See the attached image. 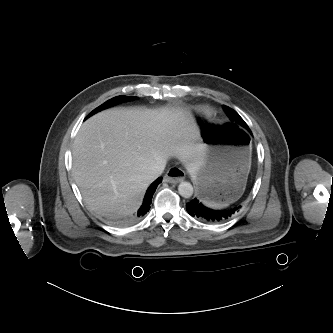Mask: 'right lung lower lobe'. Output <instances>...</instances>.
I'll return each mask as SVG.
<instances>
[{"label":"right lung lower lobe","instance_id":"1","mask_svg":"<svg viewBox=\"0 0 333 333\" xmlns=\"http://www.w3.org/2000/svg\"><path fill=\"white\" fill-rule=\"evenodd\" d=\"M161 182L162 178L159 177L149 186L146 195L144 197L143 204L137 212V217H142L149 211L155 189Z\"/></svg>","mask_w":333,"mask_h":333}]
</instances>
